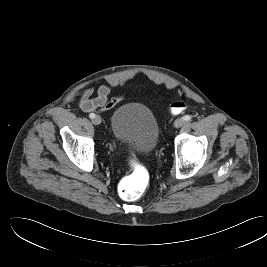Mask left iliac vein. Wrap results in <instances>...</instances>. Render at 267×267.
<instances>
[{
  "label": "left iliac vein",
  "mask_w": 267,
  "mask_h": 267,
  "mask_svg": "<svg viewBox=\"0 0 267 267\" xmlns=\"http://www.w3.org/2000/svg\"><path fill=\"white\" fill-rule=\"evenodd\" d=\"M185 124V120L183 118H178L174 122V127L175 128H180Z\"/></svg>",
  "instance_id": "left-iliac-vein-1"
}]
</instances>
